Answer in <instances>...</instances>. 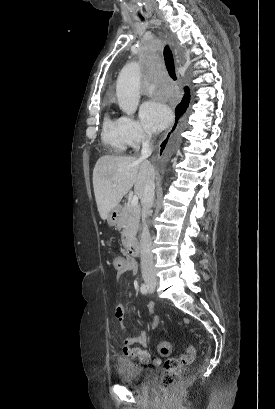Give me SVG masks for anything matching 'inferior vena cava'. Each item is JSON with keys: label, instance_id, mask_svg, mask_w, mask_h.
I'll return each instance as SVG.
<instances>
[{"label": "inferior vena cava", "instance_id": "obj_1", "mask_svg": "<svg viewBox=\"0 0 275 409\" xmlns=\"http://www.w3.org/2000/svg\"><path fill=\"white\" fill-rule=\"evenodd\" d=\"M152 134L150 132H142V148H141V158H148L152 154V146H150ZM151 170L154 172V166H151ZM155 196V182L154 174H151L148 178L143 196L141 198L142 202V221H143V231L141 235L140 247H141V271L144 281H153L156 283V273L153 261L152 253V241L146 225V217L149 215V211L153 205Z\"/></svg>", "mask_w": 275, "mask_h": 409}]
</instances>
